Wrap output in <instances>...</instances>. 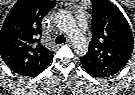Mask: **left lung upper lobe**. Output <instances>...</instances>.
<instances>
[{"label": "left lung upper lobe", "mask_w": 135, "mask_h": 95, "mask_svg": "<svg viewBox=\"0 0 135 95\" xmlns=\"http://www.w3.org/2000/svg\"><path fill=\"white\" fill-rule=\"evenodd\" d=\"M92 39L82 63L94 72L117 70L129 57L133 38L129 28L116 16L96 8L91 23Z\"/></svg>", "instance_id": "5c2ea615"}]
</instances>
